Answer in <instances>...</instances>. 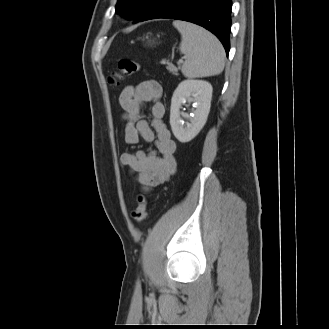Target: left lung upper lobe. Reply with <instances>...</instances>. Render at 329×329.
<instances>
[{
  "instance_id": "obj_1",
  "label": "left lung upper lobe",
  "mask_w": 329,
  "mask_h": 329,
  "mask_svg": "<svg viewBox=\"0 0 329 329\" xmlns=\"http://www.w3.org/2000/svg\"><path fill=\"white\" fill-rule=\"evenodd\" d=\"M154 0H118L116 10H122L127 18H135L148 7Z\"/></svg>"
}]
</instances>
